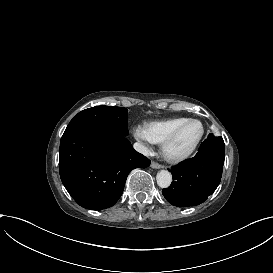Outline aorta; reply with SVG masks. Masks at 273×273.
Masks as SVG:
<instances>
[{"label": "aorta", "mask_w": 273, "mask_h": 273, "mask_svg": "<svg viewBox=\"0 0 273 273\" xmlns=\"http://www.w3.org/2000/svg\"><path fill=\"white\" fill-rule=\"evenodd\" d=\"M157 184L161 188H168L172 182V175L167 170H161L156 175Z\"/></svg>", "instance_id": "aorta-1"}]
</instances>
